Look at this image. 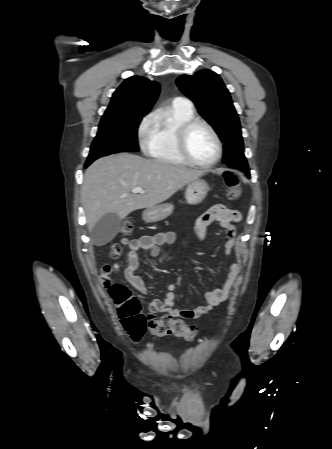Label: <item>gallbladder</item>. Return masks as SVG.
<instances>
[{
  "instance_id": "bac80fb5",
  "label": "gallbladder",
  "mask_w": 332,
  "mask_h": 449,
  "mask_svg": "<svg viewBox=\"0 0 332 449\" xmlns=\"http://www.w3.org/2000/svg\"><path fill=\"white\" fill-rule=\"evenodd\" d=\"M121 219L115 213L103 215L90 232L92 242L97 246L110 242L118 233Z\"/></svg>"
}]
</instances>
